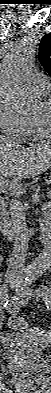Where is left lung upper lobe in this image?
Here are the masks:
<instances>
[{"instance_id": "1", "label": "left lung upper lobe", "mask_w": 51, "mask_h": 393, "mask_svg": "<svg viewBox=\"0 0 51 393\" xmlns=\"http://www.w3.org/2000/svg\"><path fill=\"white\" fill-rule=\"evenodd\" d=\"M39 61L51 76V33L44 35L40 42Z\"/></svg>"}]
</instances>
